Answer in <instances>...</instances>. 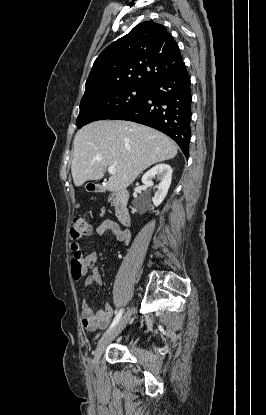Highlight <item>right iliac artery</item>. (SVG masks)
Here are the masks:
<instances>
[{
    "instance_id": "right-iliac-artery-1",
    "label": "right iliac artery",
    "mask_w": 266,
    "mask_h": 415,
    "mask_svg": "<svg viewBox=\"0 0 266 415\" xmlns=\"http://www.w3.org/2000/svg\"><path fill=\"white\" fill-rule=\"evenodd\" d=\"M122 313H123V309H121L117 313V315L115 316V318H114L113 322L111 323V325H110L109 329L107 330V332H109L119 322V320H120V318L122 316Z\"/></svg>"
}]
</instances>
